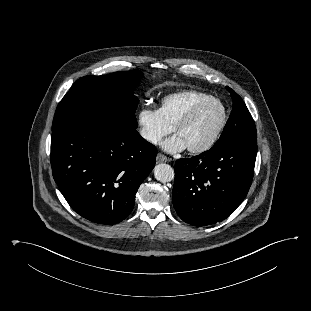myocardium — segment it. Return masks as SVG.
<instances>
[{"mask_svg":"<svg viewBox=\"0 0 311 311\" xmlns=\"http://www.w3.org/2000/svg\"><path fill=\"white\" fill-rule=\"evenodd\" d=\"M209 103H217L220 106L221 108L220 121L211 137L204 144L197 147H187L188 151L194 154H200L208 151L215 145V143L219 139L227 122V110L225 105L222 103L220 99L215 97H210L208 99L202 100L197 104H195L192 108H190L174 127L175 132L178 133L180 129L189 124L197 115V113Z\"/></svg>","mask_w":311,"mask_h":311,"instance_id":"myocardium-1","label":"myocardium"}]
</instances>
